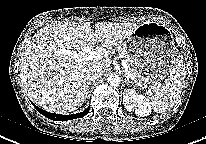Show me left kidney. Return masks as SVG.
<instances>
[{"label":"left kidney","mask_w":206,"mask_h":144,"mask_svg":"<svg viewBox=\"0 0 206 144\" xmlns=\"http://www.w3.org/2000/svg\"><path fill=\"white\" fill-rule=\"evenodd\" d=\"M123 104L128 111H135L140 117L151 113V106L142 95L136 94L134 89H125L123 92Z\"/></svg>","instance_id":"left-kidney-1"}]
</instances>
